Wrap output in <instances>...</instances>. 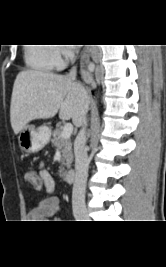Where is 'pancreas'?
I'll return each instance as SVG.
<instances>
[{"label":"pancreas","instance_id":"pancreas-1","mask_svg":"<svg viewBox=\"0 0 166 267\" xmlns=\"http://www.w3.org/2000/svg\"><path fill=\"white\" fill-rule=\"evenodd\" d=\"M62 129L56 128L53 131L52 146L62 152V164L59 168L60 176H64L65 168L69 169L73 162L72 143L70 138H62Z\"/></svg>","mask_w":166,"mask_h":267}]
</instances>
